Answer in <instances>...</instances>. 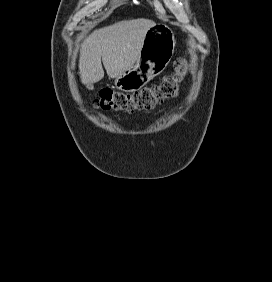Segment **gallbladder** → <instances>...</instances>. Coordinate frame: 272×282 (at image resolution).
Wrapping results in <instances>:
<instances>
[{
  "label": "gallbladder",
  "mask_w": 272,
  "mask_h": 282,
  "mask_svg": "<svg viewBox=\"0 0 272 282\" xmlns=\"http://www.w3.org/2000/svg\"><path fill=\"white\" fill-rule=\"evenodd\" d=\"M87 87H88V89H91V88H92V86H91V85H87Z\"/></svg>",
  "instance_id": "bac80fb5"
}]
</instances>
